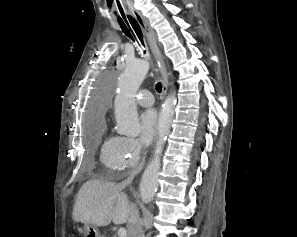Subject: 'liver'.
<instances>
[{
	"mask_svg": "<svg viewBox=\"0 0 297 237\" xmlns=\"http://www.w3.org/2000/svg\"><path fill=\"white\" fill-rule=\"evenodd\" d=\"M131 205L122 187L112 182L90 180L82 185L73 206L76 222L104 227L128 221Z\"/></svg>",
	"mask_w": 297,
	"mask_h": 237,
	"instance_id": "1",
	"label": "liver"
}]
</instances>
